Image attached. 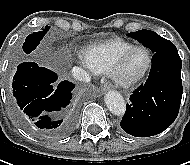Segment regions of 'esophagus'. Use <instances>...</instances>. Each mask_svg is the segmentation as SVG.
I'll return each mask as SVG.
<instances>
[{"instance_id": "esophagus-1", "label": "esophagus", "mask_w": 190, "mask_h": 165, "mask_svg": "<svg viewBox=\"0 0 190 165\" xmlns=\"http://www.w3.org/2000/svg\"><path fill=\"white\" fill-rule=\"evenodd\" d=\"M111 84H109V83H106V84H104L102 87H101V91H108V90H110L111 89Z\"/></svg>"}]
</instances>
